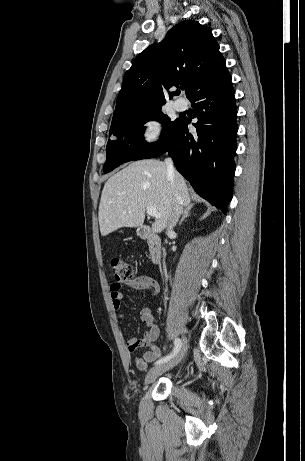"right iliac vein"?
Here are the masks:
<instances>
[{
    "mask_svg": "<svg viewBox=\"0 0 305 461\" xmlns=\"http://www.w3.org/2000/svg\"><path fill=\"white\" fill-rule=\"evenodd\" d=\"M186 347H187V338L186 336H183V346L179 350V352L174 356L171 360L159 364L152 368L146 375L145 377V383L149 384L152 383L158 376L162 375L166 371L172 369L175 367L184 357V354L186 352Z\"/></svg>",
    "mask_w": 305,
    "mask_h": 461,
    "instance_id": "63e3f726",
    "label": "right iliac vein"
}]
</instances>
